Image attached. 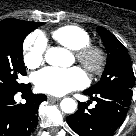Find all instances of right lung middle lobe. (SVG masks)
<instances>
[{
  "instance_id": "1",
  "label": "right lung middle lobe",
  "mask_w": 136,
  "mask_h": 136,
  "mask_svg": "<svg viewBox=\"0 0 136 136\" xmlns=\"http://www.w3.org/2000/svg\"><path fill=\"white\" fill-rule=\"evenodd\" d=\"M42 24L19 22L0 27V93H11L23 86L18 82L19 75H26L23 41L31 31Z\"/></svg>"
}]
</instances>
